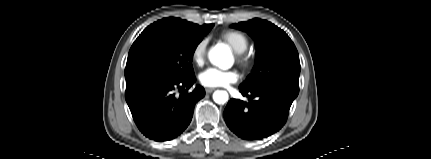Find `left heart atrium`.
<instances>
[{"label": "left heart atrium", "mask_w": 431, "mask_h": 159, "mask_svg": "<svg viewBox=\"0 0 431 159\" xmlns=\"http://www.w3.org/2000/svg\"><path fill=\"white\" fill-rule=\"evenodd\" d=\"M239 75L235 70H221L210 67L199 75L201 84L205 87H225L237 82Z\"/></svg>", "instance_id": "1"}]
</instances>
